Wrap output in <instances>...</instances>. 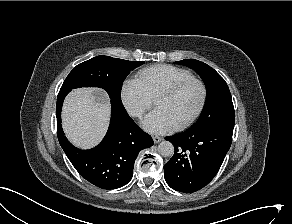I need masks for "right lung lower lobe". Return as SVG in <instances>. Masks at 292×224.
<instances>
[{"instance_id":"right-lung-lower-lobe-1","label":"right lung lower lobe","mask_w":292,"mask_h":224,"mask_svg":"<svg viewBox=\"0 0 292 224\" xmlns=\"http://www.w3.org/2000/svg\"><path fill=\"white\" fill-rule=\"evenodd\" d=\"M71 90L59 91L56 117L59 143L78 173L102 189H116L127 184L133 176L138 153L154 143L127 114L122 103L111 100L110 126L103 141L93 149L75 148L65 137L61 125V109Z\"/></svg>"}]
</instances>
